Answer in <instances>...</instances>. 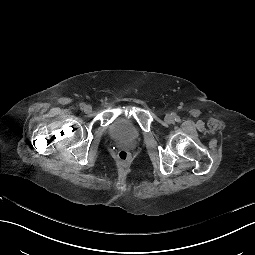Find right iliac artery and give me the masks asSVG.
<instances>
[{"label":"right iliac artery","instance_id":"1","mask_svg":"<svg viewBox=\"0 0 255 255\" xmlns=\"http://www.w3.org/2000/svg\"><path fill=\"white\" fill-rule=\"evenodd\" d=\"M85 106H86L85 103H80V108H81V109H84Z\"/></svg>","mask_w":255,"mask_h":255}]
</instances>
